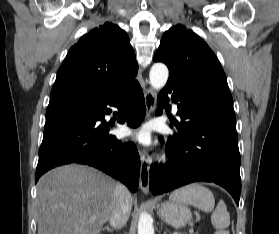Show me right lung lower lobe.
Instances as JSON below:
<instances>
[{
  "label": "right lung lower lobe",
  "instance_id": "1",
  "mask_svg": "<svg viewBox=\"0 0 279 234\" xmlns=\"http://www.w3.org/2000/svg\"><path fill=\"white\" fill-rule=\"evenodd\" d=\"M120 109L118 122L130 127L141 124L145 100L137 81L112 99L90 107L86 112L47 120L39 150L35 182L46 171L68 163L96 167L126 184L136 192L139 184L140 160L131 142H121L109 135L105 115L107 106Z\"/></svg>",
  "mask_w": 279,
  "mask_h": 234
}]
</instances>
